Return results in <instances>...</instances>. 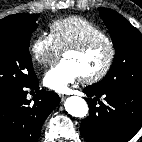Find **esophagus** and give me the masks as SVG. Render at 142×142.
Instances as JSON below:
<instances>
[{
    "label": "esophagus",
    "instance_id": "esophagus-1",
    "mask_svg": "<svg viewBox=\"0 0 142 142\" xmlns=\"http://www.w3.org/2000/svg\"><path fill=\"white\" fill-rule=\"evenodd\" d=\"M66 98H67L66 95H60V99H61L62 101H64Z\"/></svg>",
    "mask_w": 142,
    "mask_h": 142
}]
</instances>
